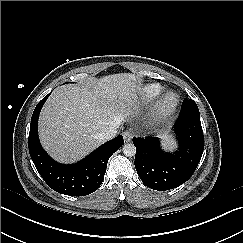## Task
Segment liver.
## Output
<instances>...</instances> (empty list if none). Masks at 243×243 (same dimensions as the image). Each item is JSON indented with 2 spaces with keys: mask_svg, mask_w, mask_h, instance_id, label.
Here are the masks:
<instances>
[{
  "mask_svg": "<svg viewBox=\"0 0 243 243\" xmlns=\"http://www.w3.org/2000/svg\"><path fill=\"white\" fill-rule=\"evenodd\" d=\"M137 90V77L130 73L94 79L90 86L55 89L40 113L43 147L63 163L85 157L105 141L99 134L124 121L134 106Z\"/></svg>",
  "mask_w": 243,
  "mask_h": 243,
  "instance_id": "liver-1",
  "label": "liver"
}]
</instances>
